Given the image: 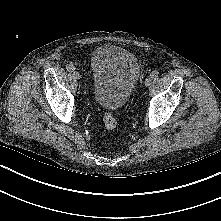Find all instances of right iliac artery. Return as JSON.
I'll return each mask as SVG.
<instances>
[{
  "instance_id": "82829eb1",
  "label": "right iliac artery",
  "mask_w": 221,
  "mask_h": 221,
  "mask_svg": "<svg viewBox=\"0 0 221 221\" xmlns=\"http://www.w3.org/2000/svg\"><path fill=\"white\" fill-rule=\"evenodd\" d=\"M66 69L70 72L75 70V66L72 63L67 64Z\"/></svg>"
}]
</instances>
